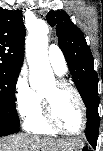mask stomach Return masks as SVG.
<instances>
[{"instance_id":"1","label":"stomach","mask_w":103,"mask_h":151,"mask_svg":"<svg viewBox=\"0 0 103 151\" xmlns=\"http://www.w3.org/2000/svg\"><path fill=\"white\" fill-rule=\"evenodd\" d=\"M84 149L85 146L82 142H76L74 145L64 147L59 151H82Z\"/></svg>"}]
</instances>
